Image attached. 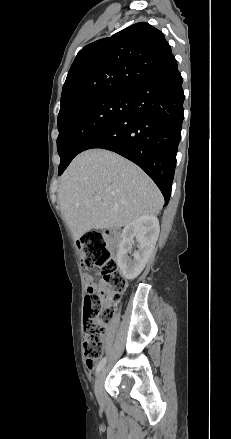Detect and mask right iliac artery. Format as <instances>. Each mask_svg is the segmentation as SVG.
<instances>
[{
  "instance_id": "82829eb1",
  "label": "right iliac artery",
  "mask_w": 231,
  "mask_h": 439,
  "mask_svg": "<svg viewBox=\"0 0 231 439\" xmlns=\"http://www.w3.org/2000/svg\"><path fill=\"white\" fill-rule=\"evenodd\" d=\"M105 363H106V357L103 358V359L98 363V365H97V367H96V374H99V372L101 371V369L104 367Z\"/></svg>"
}]
</instances>
